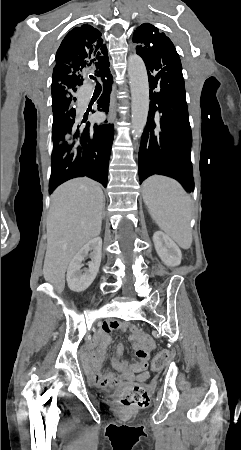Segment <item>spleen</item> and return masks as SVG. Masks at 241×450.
<instances>
[{"label":"spleen","instance_id":"obj_1","mask_svg":"<svg viewBox=\"0 0 241 450\" xmlns=\"http://www.w3.org/2000/svg\"><path fill=\"white\" fill-rule=\"evenodd\" d=\"M143 200L159 228L180 248L192 244L190 196L179 182L166 176H151L142 184Z\"/></svg>","mask_w":241,"mask_h":450}]
</instances>
